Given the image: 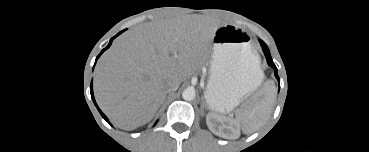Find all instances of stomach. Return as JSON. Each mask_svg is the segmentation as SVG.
Listing matches in <instances>:
<instances>
[{"label": "stomach", "mask_w": 369, "mask_h": 152, "mask_svg": "<svg viewBox=\"0 0 369 152\" xmlns=\"http://www.w3.org/2000/svg\"><path fill=\"white\" fill-rule=\"evenodd\" d=\"M212 43L211 75L204 95L209 109L228 113L260 86L263 73L248 34L237 26L218 27Z\"/></svg>", "instance_id": "0dacf381"}]
</instances>
